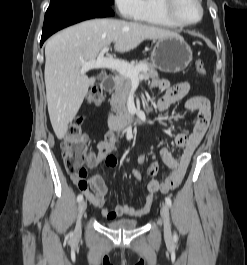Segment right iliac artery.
Wrapping results in <instances>:
<instances>
[{
  "label": "right iliac artery",
  "mask_w": 247,
  "mask_h": 265,
  "mask_svg": "<svg viewBox=\"0 0 247 265\" xmlns=\"http://www.w3.org/2000/svg\"><path fill=\"white\" fill-rule=\"evenodd\" d=\"M83 200V195L82 194H79L78 197H77V201L78 202H81Z\"/></svg>",
  "instance_id": "82829eb1"
}]
</instances>
